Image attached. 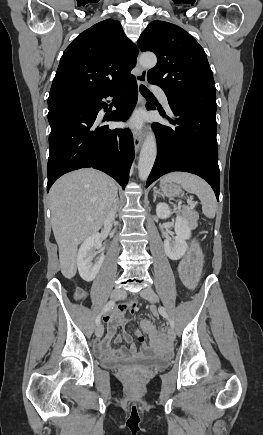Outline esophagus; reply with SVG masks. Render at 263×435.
Segmentation results:
<instances>
[{
    "label": "esophagus",
    "mask_w": 263,
    "mask_h": 435,
    "mask_svg": "<svg viewBox=\"0 0 263 435\" xmlns=\"http://www.w3.org/2000/svg\"><path fill=\"white\" fill-rule=\"evenodd\" d=\"M137 68L139 70L138 76L136 77L138 85H143L147 81V71L143 69L139 62H137ZM146 101L141 94H139V104L145 105ZM143 136L141 133L136 131L133 132V142L135 149L138 150L142 144Z\"/></svg>",
    "instance_id": "34e87169"
}]
</instances>
